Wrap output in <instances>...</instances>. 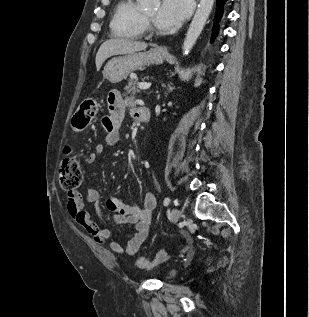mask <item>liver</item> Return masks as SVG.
<instances>
[{"label": "liver", "instance_id": "6515ba94", "mask_svg": "<svg viewBox=\"0 0 309 317\" xmlns=\"http://www.w3.org/2000/svg\"><path fill=\"white\" fill-rule=\"evenodd\" d=\"M146 48L145 42L125 38L109 39L100 46L96 54V69L99 71L104 61L111 56L138 52Z\"/></svg>", "mask_w": 309, "mask_h": 317}]
</instances>
